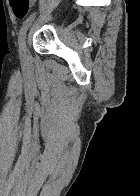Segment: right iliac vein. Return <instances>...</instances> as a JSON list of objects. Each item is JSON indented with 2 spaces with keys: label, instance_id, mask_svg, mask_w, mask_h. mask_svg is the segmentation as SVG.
<instances>
[{
  "label": "right iliac vein",
  "instance_id": "obj_1",
  "mask_svg": "<svg viewBox=\"0 0 140 196\" xmlns=\"http://www.w3.org/2000/svg\"><path fill=\"white\" fill-rule=\"evenodd\" d=\"M23 62L29 66L31 64V56L28 54V51L26 50L23 58H22Z\"/></svg>",
  "mask_w": 140,
  "mask_h": 196
}]
</instances>
